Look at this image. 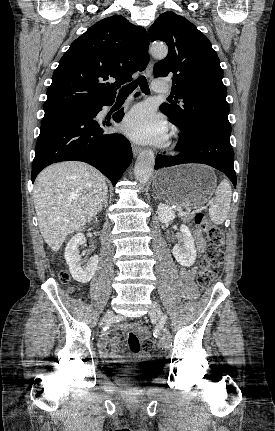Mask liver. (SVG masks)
Here are the masks:
<instances>
[{
	"mask_svg": "<svg viewBox=\"0 0 275 431\" xmlns=\"http://www.w3.org/2000/svg\"><path fill=\"white\" fill-rule=\"evenodd\" d=\"M107 193L105 176L86 163L66 161L45 168L36 179L33 199L48 246L57 252L67 235L101 210Z\"/></svg>",
	"mask_w": 275,
	"mask_h": 431,
	"instance_id": "6515ba94",
	"label": "liver"
}]
</instances>
